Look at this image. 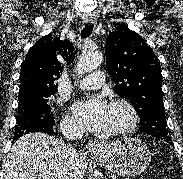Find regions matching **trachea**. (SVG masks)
Here are the masks:
<instances>
[{
    "mask_svg": "<svg viewBox=\"0 0 183 179\" xmlns=\"http://www.w3.org/2000/svg\"><path fill=\"white\" fill-rule=\"evenodd\" d=\"M94 25H85L81 31V38H87L92 34Z\"/></svg>",
    "mask_w": 183,
    "mask_h": 179,
    "instance_id": "obj_1",
    "label": "trachea"
}]
</instances>
